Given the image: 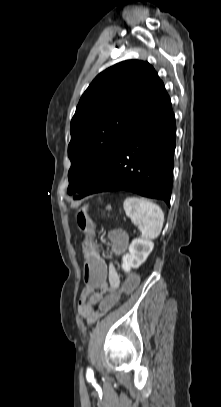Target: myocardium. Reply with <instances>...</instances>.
I'll list each match as a JSON object with an SVG mask.
<instances>
[{
  "instance_id": "myocardium-1",
  "label": "myocardium",
  "mask_w": 221,
  "mask_h": 407,
  "mask_svg": "<svg viewBox=\"0 0 221 407\" xmlns=\"http://www.w3.org/2000/svg\"><path fill=\"white\" fill-rule=\"evenodd\" d=\"M106 164L103 161L94 162L89 167V174L93 177L99 176L105 169Z\"/></svg>"
}]
</instances>
